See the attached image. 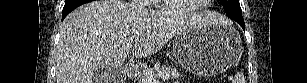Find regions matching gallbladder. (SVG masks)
Listing matches in <instances>:
<instances>
[{"label": "gallbladder", "instance_id": "obj_1", "mask_svg": "<svg viewBox=\"0 0 307 83\" xmlns=\"http://www.w3.org/2000/svg\"><path fill=\"white\" fill-rule=\"evenodd\" d=\"M122 72L120 69H112L108 67H101L94 74L96 83H118Z\"/></svg>", "mask_w": 307, "mask_h": 83}]
</instances>
